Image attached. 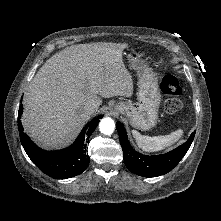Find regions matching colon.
Here are the masks:
<instances>
[{
	"mask_svg": "<svg viewBox=\"0 0 221 221\" xmlns=\"http://www.w3.org/2000/svg\"><path fill=\"white\" fill-rule=\"evenodd\" d=\"M162 92L168 96L164 103V109L167 113H176L182 107L178 96L182 92L179 80L173 75H167L161 82Z\"/></svg>",
	"mask_w": 221,
	"mask_h": 221,
	"instance_id": "obj_1",
	"label": "colon"
}]
</instances>
